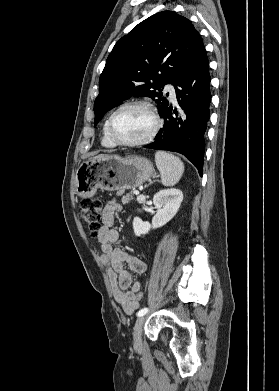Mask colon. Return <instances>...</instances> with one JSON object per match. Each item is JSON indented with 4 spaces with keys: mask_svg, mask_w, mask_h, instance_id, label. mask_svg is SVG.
I'll return each instance as SVG.
<instances>
[{
    "mask_svg": "<svg viewBox=\"0 0 279 391\" xmlns=\"http://www.w3.org/2000/svg\"><path fill=\"white\" fill-rule=\"evenodd\" d=\"M81 216L92 236H98L102 226L103 206L97 199H87L81 203ZM144 298L143 292L137 294L140 303Z\"/></svg>",
    "mask_w": 279,
    "mask_h": 391,
    "instance_id": "1",
    "label": "colon"
}]
</instances>
